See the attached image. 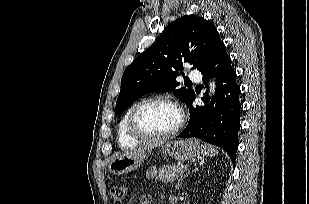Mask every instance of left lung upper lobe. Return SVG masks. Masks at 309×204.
I'll use <instances>...</instances> for the list:
<instances>
[{"instance_id":"left-lung-upper-lobe-1","label":"left lung upper lobe","mask_w":309,"mask_h":204,"mask_svg":"<svg viewBox=\"0 0 309 204\" xmlns=\"http://www.w3.org/2000/svg\"><path fill=\"white\" fill-rule=\"evenodd\" d=\"M197 48L190 52V47ZM224 46L218 31L209 21L186 15L164 29L162 36L140 54L123 73L115 113L121 114L137 98L150 92H173L188 106L194 91L178 88L176 77L183 63L204 71L212 65Z\"/></svg>"}]
</instances>
